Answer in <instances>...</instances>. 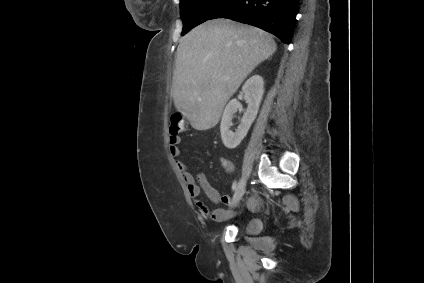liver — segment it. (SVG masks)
Instances as JSON below:
<instances>
[{
    "mask_svg": "<svg viewBox=\"0 0 424 283\" xmlns=\"http://www.w3.org/2000/svg\"><path fill=\"white\" fill-rule=\"evenodd\" d=\"M277 49L264 30L229 19L207 21L180 39L171 95L196 130L219 122L230 97Z\"/></svg>",
    "mask_w": 424,
    "mask_h": 283,
    "instance_id": "1",
    "label": "liver"
}]
</instances>
